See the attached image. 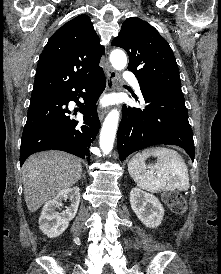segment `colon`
Segmentation results:
<instances>
[{
	"mask_svg": "<svg viewBox=\"0 0 221 274\" xmlns=\"http://www.w3.org/2000/svg\"><path fill=\"white\" fill-rule=\"evenodd\" d=\"M163 200L174 213L182 214L186 210V202L178 192L169 191L164 193Z\"/></svg>",
	"mask_w": 221,
	"mask_h": 274,
	"instance_id": "obj_1",
	"label": "colon"
}]
</instances>
